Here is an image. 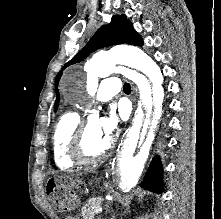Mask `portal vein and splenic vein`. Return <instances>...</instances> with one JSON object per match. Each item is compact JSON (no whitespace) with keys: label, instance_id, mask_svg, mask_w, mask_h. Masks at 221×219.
Here are the masks:
<instances>
[{"label":"portal vein and splenic vein","instance_id":"obj_1","mask_svg":"<svg viewBox=\"0 0 221 219\" xmlns=\"http://www.w3.org/2000/svg\"><path fill=\"white\" fill-rule=\"evenodd\" d=\"M102 211V207H100L97 212L100 213Z\"/></svg>","mask_w":221,"mask_h":219}]
</instances>
